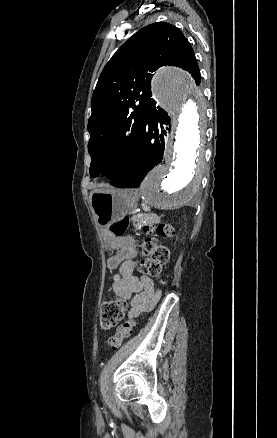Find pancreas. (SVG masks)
<instances>
[{"label": "pancreas", "instance_id": "obj_1", "mask_svg": "<svg viewBox=\"0 0 277 438\" xmlns=\"http://www.w3.org/2000/svg\"><path fill=\"white\" fill-rule=\"evenodd\" d=\"M130 219L132 223H139L140 226L145 227L148 223H157L159 218L157 214H132Z\"/></svg>", "mask_w": 277, "mask_h": 438}]
</instances>
